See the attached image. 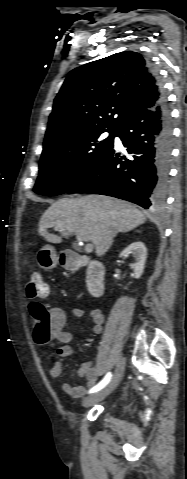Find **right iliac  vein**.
Listing matches in <instances>:
<instances>
[{"label":"right iliac vein","instance_id":"obj_1","mask_svg":"<svg viewBox=\"0 0 187 479\" xmlns=\"http://www.w3.org/2000/svg\"><path fill=\"white\" fill-rule=\"evenodd\" d=\"M125 369V360L120 358L117 362L116 369L111 381L99 392L87 396L83 400V406L89 407L101 400H103L106 396H108L119 384V381L123 375Z\"/></svg>","mask_w":187,"mask_h":479}]
</instances>
